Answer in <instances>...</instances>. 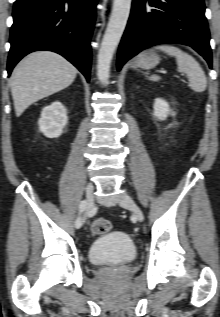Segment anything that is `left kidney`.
Returning <instances> with one entry per match:
<instances>
[{
    "label": "left kidney",
    "instance_id": "obj_1",
    "mask_svg": "<svg viewBox=\"0 0 220 317\" xmlns=\"http://www.w3.org/2000/svg\"><path fill=\"white\" fill-rule=\"evenodd\" d=\"M153 108L154 116L157 117L159 120H165L167 115L171 111L168 103L161 98L155 99Z\"/></svg>",
    "mask_w": 220,
    "mask_h": 317
}]
</instances>
